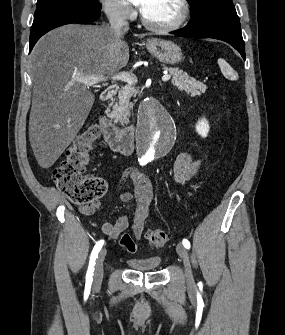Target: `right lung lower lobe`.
I'll use <instances>...</instances> for the list:
<instances>
[{
	"label": "right lung lower lobe",
	"instance_id": "1",
	"mask_svg": "<svg viewBox=\"0 0 285 335\" xmlns=\"http://www.w3.org/2000/svg\"><path fill=\"white\" fill-rule=\"evenodd\" d=\"M100 16L99 12H92L77 8H60L34 17L31 27L29 52L38 39L48 31L66 24H89Z\"/></svg>",
	"mask_w": 285,
	"mask_h": 335
}]
</instances>
